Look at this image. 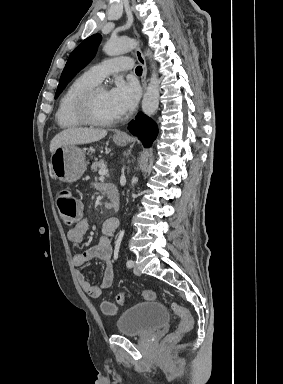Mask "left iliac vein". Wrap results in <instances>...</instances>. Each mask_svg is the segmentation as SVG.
<instances>
[{
    "mask_svg": "<svg viewBox=\"0 0 283 384\" xmlns=\"http://www.w3.org/2000/svg\"><path fill=\"white\" fill-rule=\"evenodd\" d=\"M133 272L135 275H141V271H140V268L135 264L133 265Z\"/></svg>",
    "mask_w": 283,
    "mask_h": 384,
    "instance_id": "1",
    "label": "left iliac vein"
}]
</instances>
